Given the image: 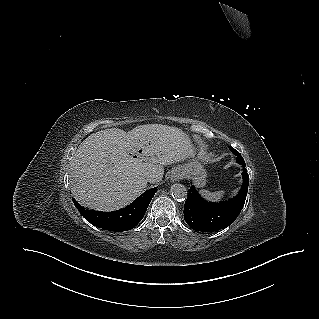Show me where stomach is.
<instances>
[{
	"mask_svg": "<svg viewBox=\"0 0 319 319\" xmlns=\"http://www.w3.org/2000/svg\"><path fill=\"white\" fill-rule=\"evenodd\" d=\"M178 170L182 177H191L198 187H204L206 185V170L197 160L189 161L185 165H180Z\"/></svg>",
	"mask_w": 319,
	"mask_h": 319,
	"instance_id": "0dacf381",
	"label": "stomach"
}]
</instances>
